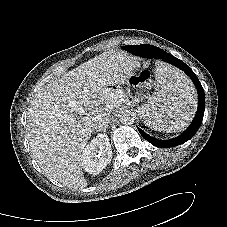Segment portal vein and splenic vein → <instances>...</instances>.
Returning a JSON list of instances; mask_svg holds the SVG:
<instances>
[{
  "label": "portal vein and splenic vein",
  "mask_w": 227,
  "mask_h": 227,
  "mask_svg": "<svg viewBox=\"0 0 227 227\" xmlns=\"http://www.w3.org/2000/svg\"><path fill=\"white\" fill-rule=\"evenodd\" d=\"M74 107H75V110L76 111H79L80 110V108H78L76 105H74ZM81 112V111H80ZM82 112H83V110H82Z\"/></svg>",
  "instance_id": "obj_1"
}]
</instances>
